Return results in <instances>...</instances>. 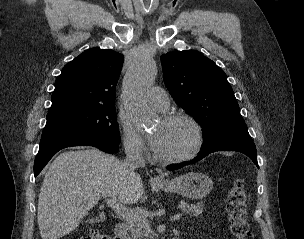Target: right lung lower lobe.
<instances>
[{"mask_svg": "<svg viewBox=\"0 0 304 239\" xmlns=\"http://www.w3.org/2000/svg\"><path fill=\"white\" fill-rule=\"evenodd\" d=\"M80 145H90L97 147L98 149L107 153H116L119 149V144L111 142L106 139L91 137V136H80V135H69V136H56L42 138L40 140V147L34 163V175L35 177L41 172L48 161L56 154L59 150Z\"/></svg>", "mask_w": 304, "mask_h": 239, "instance_id": "obj_1", "label": "right lung lower lobe"}]
</instances>
